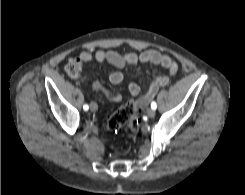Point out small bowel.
<instances>
[{
	"instance_id": "small-bowel-1",
	"label": "small bowel",
	"mask_w": 245,
	"mask_h": 195,
	"mask_svg": "<svg viewBox=\"0 0 245 195\" xmlns=\"http://www.w3.org/2000/svg\"><path fill=\"white\" fill-rule=\"evenodd\" d=\"M95 60L98 63L108 62L118 69H122L125 66L136 65L137 63H150L152 65L161 66L167 69L171 76L176 75L178 72V64L169 55L161 53L155 49H148L139 54L135 52H126L120 54L113 50H96L94 52L83 51L79 55V61L86 63ZM124 76L120 71H115L110 75V81L114 85L122 84ZM169 83V78L164 75L155 76L149 83L145 93L140 94V87L136 83H130L128 85L129 93L138 98V104L140 106L147 105L157 93L160 87L166 86ZM93 89L102 91L107 98L114 102H120L122 96L118 93H114L102 86L98 81L92 83Z\"/></svg>"
}]
</instances>
